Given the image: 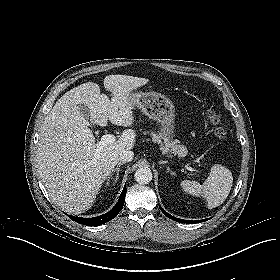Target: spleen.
Instances as JSON below:
<instances>
[{
  "mask_svg": "<svg viewBox=\"0 0 280 280\" xmlns=\"http://www.w3.org/2000/svg\"><path fill=\"white\" fill-rule=\"evenodd\" d=\"M233 177L231 171L220 164H215L206 181L201 185L197 181L184 180L182 189L191 195H201L209 208L219 206L225 201L231 190Z\"/></svg>",
  "mask_w": 280,
  "mask_h": 280,
  "instance_id": "1",
  "label": "spleen"
}]
</instances>
